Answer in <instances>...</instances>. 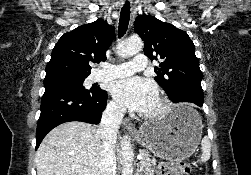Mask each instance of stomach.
<instances>
[{
  "mask_svg": "<svg viewBox=\"0 0 251 175\" xmlns=\"http://www.w3.org/2000/svg\"><path fill=\"white\" fill-rule=\"evenodd\" d=\"M202 129L198 111L180 103L162 119L144 121L135 137L162 159H186L196 151Z\"/></svg>",
  "mask_w": 251,
  "mask_h": 175,
  "instance_id": "1",
  "label": "stomach"
}]
</instances>
